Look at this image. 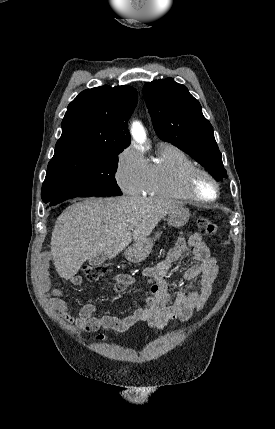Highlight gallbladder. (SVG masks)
Segmentation results:
<instances>
[{
  "instance_id": "bac80fb5",
  "label": "gallbladder",
  "mask_w": 275,
  "mask_h": 429,
  "mask_svg": "<svg viewBox=\"0 0 275 429\" xmlns=\"http://www.w3.org/2000/svg\"><path fill=\"white\" fill-rule=\"evenodd\" d=\"M107 257L105 254H97L91 259H89V264L91 266H99L106 261Z\"/></svg>"
}]
</instances>
